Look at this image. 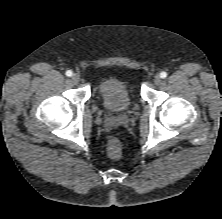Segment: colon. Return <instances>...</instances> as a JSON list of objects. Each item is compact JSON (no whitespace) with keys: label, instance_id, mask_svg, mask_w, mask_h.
Wrapping results in <instances>:
<instances>
[{"label":"colon","instance_id":"obj_1","mask_svg":"<svg viewBox=\"0 0 222 219\" xmlns=\"http://www.w3.org/2000/svg\"><path fill=\"white\" fill-rule=\"evenodd\" d=\"M107 154L112 159H119L122 155V143L113 137L107 143Z\"/></svg>","mask_w":222,"mask_h":219}]
</instances>
